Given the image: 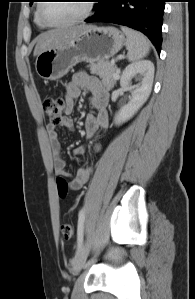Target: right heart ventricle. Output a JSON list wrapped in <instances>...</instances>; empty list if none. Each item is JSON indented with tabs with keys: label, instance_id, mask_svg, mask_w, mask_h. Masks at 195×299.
<instances>
[{
	"label": "right heart ventricle",
	"instance_id": "e07e8e85",
	"mask_svg": "<svg viewBox=\"0 0 195 299\" xmlns=\"http://www.w3.org/2000/svg\"><path fill=\"white\" fill-rule=\"evenodd\" d=\"M34 22L36 24V26L40 29H45L46 28V25H44L38 18V15H37V10L35 11L34 13Z\"/></svg>",
	"mask_w": 195,
	"mask_h": 299
}]
</instances>
